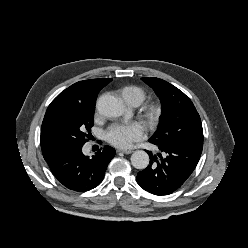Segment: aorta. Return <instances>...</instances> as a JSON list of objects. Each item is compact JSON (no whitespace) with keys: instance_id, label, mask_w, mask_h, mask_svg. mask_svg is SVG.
Returning <instances> with one entry per match:
<instances>
[{"instance_id":"obj_1","label":"aorta","mask_w":248,"mask_h":248,"mask_svg":"<svg viewBox=\"0 0 248 248\" xmlns=\"http://www.w3.org/2000/svg\"><path fill=\"white\" fill-rule=\"evenodd\" d=\"M97 110L110 118L120 117L126 113L123 101L112 95L101 96L97 101ZM131 163L137 169H145L149 164V156L145 151H135L131 155Z\"/></svg>"}]
</instances>
